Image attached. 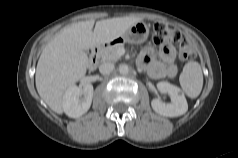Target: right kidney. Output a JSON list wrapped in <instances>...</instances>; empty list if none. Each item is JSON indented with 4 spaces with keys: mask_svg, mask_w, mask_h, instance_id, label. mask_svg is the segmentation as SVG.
Masks as SVG:
<instances>
[{
    "mask_svg": "<svg viewBox=\"0 0 238 158\" xmlns=\"http://www.w3.org/2000/svg\"><path fill=\"white\" fill-rule=\"evenodd\" d=\"M92 98L91 84H84L82 87L73 85L64 95V112L71 118H78L89 110Z\"/></svg>",
    "mask_w": 238,
    "mask_h": 158,
    "instance_id": "1",
    "label": "right kidney"
}]
</instances>
